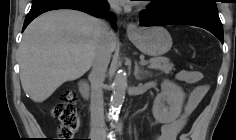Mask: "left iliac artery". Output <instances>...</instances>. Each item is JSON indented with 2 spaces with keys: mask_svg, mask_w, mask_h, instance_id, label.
<instances>
[{
  "mask_svg": "<svg viewBox=\"0 0 236 140\" xmlns=\"http://www.w3.org/2000/svg\"><path fill=\"white\" fill-rule=\"evenodd\" d=\"M110 140H116L115 137L113 136H110Z\"/></svg>",
  "mask_w": 236,
  "mask_h": 140,
  "instance_id": "obj_1",
  "label": "left iliac artery"
}]
</instances>
